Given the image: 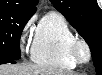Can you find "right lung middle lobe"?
I'll list each match as a JSON object with an SVG mask.
<instances>
[{"mask_svg":"<svg viewBox=\"0 0 102 75\" xmlns=\"http://www.w3.org/2000/svg\"><path fill=\"white\" fill-rule=\"evenodd\" d=\"M32 14L0 10V60H18L21 32Z\"/></svg>","mask_w":102,"mask_h":75,"instance_id":"right-lung-middle-lobe-1","label":"right lung middle lobe"}]
</instances>
